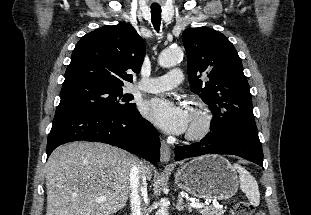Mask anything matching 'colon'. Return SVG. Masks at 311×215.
Instances as JSON below:
<instances>
[{"mask_svg": "<svg viewBox=\"0 0 311 215\" xmlns=\"http://www.w3.org/2000/svg\"><path fill=\"white\" fill-rule=\"evenodd\" d=\"M233 215H266L262 211H256L254 206L246 201L236 203L232 208Z\"/></svg>", "mask_w": 311, "mask_h": 215, "instance_id": "5ec220e1", "label": "colon"}]
</instances>
